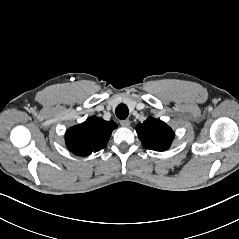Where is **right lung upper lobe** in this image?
Instances as JSON below:
<instances>
[{"mask_svg":"<svg viewBox=\"0 0 239 239\" xmlns=\"http://www.w3.org/2000/svg\"><path fill=\"white\" fill-rule=\"evenodd\" d=\"M117 128L113 121L90 117L85 122L69 128L65 135L67 148L78 156H86L106 147L111 133Z\"/></svg>","mask_w":239,"mask_h":239,"instance_id":"1","label":"right lung upper lobe"}]
</instances>
